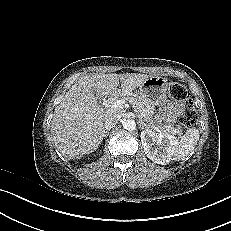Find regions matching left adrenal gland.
<instances>
[{
    "instance_id": "obj_1",
    "label": "left adrenal gland",
    "mask_w": 231,
    "mask_h": 231,
    "mask_svg": "<svg viewBox=\"0 0 231 231\" xmlns=\"http://www.w3.org/2000/svg\"><path fill=\"white\" fill-rule=\"evenodd\" d=\"M140 124L142 125V129H145V130L148 129V127H146V124L144 122L140 121Z\"/></svg>"
}]
</instances>
